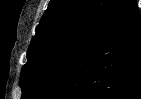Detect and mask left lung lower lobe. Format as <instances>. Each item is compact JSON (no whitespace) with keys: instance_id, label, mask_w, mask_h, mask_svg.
I'll return each mask as SVG.
<instances>
[{"instance_id":"0a47b994","label":"left lung lower lobe","mask_w":141,"mask_h":99,"mask_svg":"<svg viewBox=\"0 0 141 99\" xmlns=\"http://www.w3.org/2000/svg\"><path fill=\"white\" fill-rule=\"evenodd\" d=\"M38 99H141V20L122 0Z\"/></svg>"}]
</instances>
